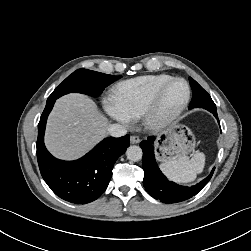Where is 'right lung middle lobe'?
I'll return each instance as SVG.
<instances>
[{
    "instance_id": "right-lung-middle-lobe-1",
    "label": "right lung middle lobe",
    "mask_w": 251,
    "mask_h": 251,
    "mask_svg": "<svg viewBox=\"0 0 251 251\" xmlns=\"http://www.w3.org/2000/svg\"><path fill=\"white\" fill-rule=\"evenodd\" d=\"M121 76L107 75L104 73L78 69L69 75L48 97V100H56L59 97L78 92L98 97L113 81L119 79Z\"/></svg>"
}]
</instances>
